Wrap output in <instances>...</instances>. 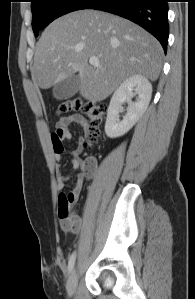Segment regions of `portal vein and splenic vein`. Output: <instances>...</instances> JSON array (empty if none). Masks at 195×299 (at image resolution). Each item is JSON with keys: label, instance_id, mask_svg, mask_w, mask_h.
<instances>
[{"label": "portal vein and splenic vein", "instance_id": "18ae733b", "mask_svg": "<svg viewBox=\"0 0 195 299\" xmlns=\"http://www.w3.org/2000/svg\"><path fill=\"white\" fill-rule=\"evenodd\" d=\"M89 63H90V65H92L94 67H99L100 66L99 59L97 57H91L89 59Z\"/></svg>", "mask_w": 195, "mask_h": 299}]
</instances>
